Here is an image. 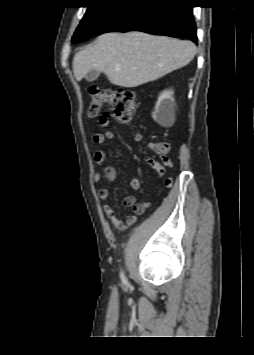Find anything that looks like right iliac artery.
I'll use <instances>...</instances> for the list:
<instances>
[{
	"label": "right iliac artery",
	"instance_id": "1",
	"mask_svg": "<svg viewBox=\"0 0 254 355\" xmlns=\"http://www.w3.org/2000/svg\"><path fill=\"white\" fill-rule=\"evenodd\" d=\"M120 276H121L122 282L123 283H127V279H126V277L124 276V274L122 272H121Z\"/></svg>",
	"mask_w": 254,
	"mask_h": 355
}]
</instances>
